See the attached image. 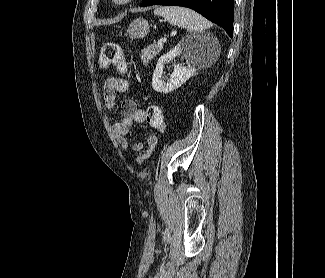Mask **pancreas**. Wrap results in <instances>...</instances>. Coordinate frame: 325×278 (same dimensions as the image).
I'll return each instance as SVG.
<instances>
[{"label": "pancreas", "mask_w": 325, "mask_h": 278, "mask_svg": "<svg viewBox=\"0 0 325 278\" xmlns=\"http://www.w3.org/2000/svg\"><path fill=\"white\" fill-rule=\"evenodd\" d=\"M163 45H149L147 48L142 50L141 60L144 65H147L152 59L161 52Z\"/></svg>", "instance_id": "obj_1"}]
</instances>
